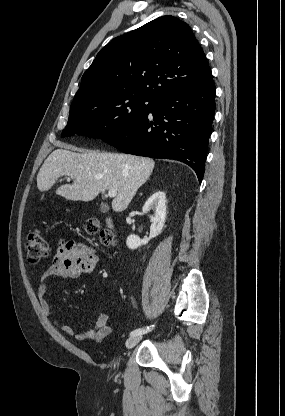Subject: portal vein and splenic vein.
I'll return each instance as SVG.
<instances>
[{
  "label": "portal vein and splenic vein",
  "mask_w": 285,
  "mask_h": 416,
  "mask_svg": "<svg viewBox=\"0 0 285 416\" xmlns=\"http://www.w3.org/2000/svg\"><path fill=\"white\" fill-rule=\"evenodd\" d=\"M108 196L109 198H115L117 196V190H109Z\"/></svg>",
  "instance_id": "1"
}]
</instances>
